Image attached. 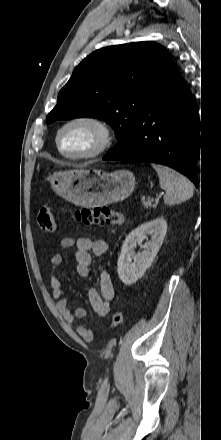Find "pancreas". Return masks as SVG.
<instances>
[{
  "mask_svg": "<svg viewBox=\"0 0 221 440\" xmlns=\"http://www.w3.org/2000/svg\"><path fill=\"white\" fill-rule=\"evenodd\" d=\"M143 205L146 209L148 208H156L157 206V202L153 203L152 199H148L147 201H143Z\"/></svg>",
  "mask_w": 221,
  "mask_h": 440,
  "instance_id": "obj_1",
  "label": "pancreas"
}]
</instances>
